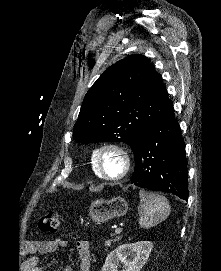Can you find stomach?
Wrapping results in <instances>:
<instances>
[{"mask_svg":"<svg viewBox=\"0 0 221 271\" xmlns=\"http://www.w3.org/2000/svg\"><path fill=\"white\" fill-rule=\"evenodd\" d=\"M129 209L128 201L124 197H112V199H96L89 207V215L93 221L104 223L107 219L126 215Z\"/></svg>","mask_w":221,"mask_h":271,"instance_id":"stomach-1","label":"stomach"}]
</instances>
